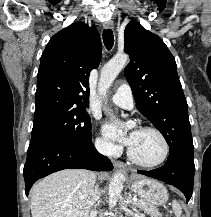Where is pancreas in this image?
<instances>
[{"mask_svg": "<svg viewBox=\"0 0 211 217\" xmlns=\"http://www.w3.org/2000/svg\"><path fill=\"white\" fill-rule=\"evenodd\" d=\"M135 206H137L139 209L143 210L147 214L151 215V217H162V214L158 212L157 208L146 200H138L137 202H135Z\"/></svg>", "mask_w": 211, "mask_h": 217, "instance_id": "obj_1", "label": "pancreas"}]
</instances>
